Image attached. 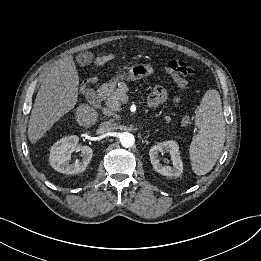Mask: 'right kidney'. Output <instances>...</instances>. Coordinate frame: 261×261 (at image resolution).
Masks as SVG:
<instances>
[{
    "mask_svg": "<svg viewBox=\"0 0 261 261\" xmlns=\"http://www.w3.org/2000/svg\"><path fill=\"white\" fill-rule=\"evenodd\" d=\"M79 138L76 135L67 136L51 147L49 161L50 165L58 172L63 174H77L83 172L90 163L93 151L89 146L78 147ZM81 151L82 160H76L70 164L71 153Z\"/></svg>",
    "mask_w": 261,
    "mask_h": 261,
    "instance_id": "1",
    "label": "right kidney"
}]
</instances>
